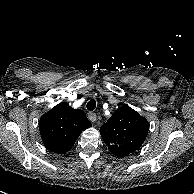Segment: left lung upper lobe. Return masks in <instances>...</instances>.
<instances>
[{"mask_svg":"<svg viewBox=\"0 0 194 194\" xmlns=\"http://www.w3.org/2000/svg\"><path fill=\"white\" fill-rule=\"evenodd\" d=\"M148 130V121L128 105H123L101 126L100 134L110 152L123 157L141 147Z\"/></svg>","mask_w":194,"mask_h":194,"instance_id":"obj_1","label":"left lung upper lobe"}]
</instances>
